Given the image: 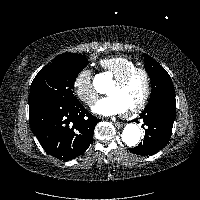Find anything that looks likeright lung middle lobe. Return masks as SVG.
<instances>
[{"label":"right lung middle lobe","instance_id":"dd1d6c3e","mask_svg":"<svg viewBox=\"0 0 200 200\" xmlns=\"http://www.w3.org/2000/svg\"><path fill=\"white\" fill-rule=\"evenodd\" d=\"M87 64V59L76 53L55 57L53 63L44 66L34 78L29 105L41 102L71 103L77 100L73 95L74 82Z\"/></svg>","mask_w":200,"mask_h":200}]
</instances>
